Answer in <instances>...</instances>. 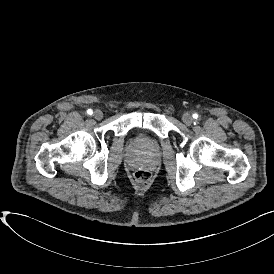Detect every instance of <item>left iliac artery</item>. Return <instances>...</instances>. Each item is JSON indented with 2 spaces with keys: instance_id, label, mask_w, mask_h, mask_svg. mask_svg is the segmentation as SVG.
I'll return each instance as SVG.
<instances>
[{
  "instance_id": "obj_1",
  "label": "left iliac artery",
  "mask_w": 274,
  "mask_h": 274,
  "mask_svg": "<svg viewBox=\"0 0 274 274\" xmlns=\"http://www.w3.org/2000/svg\"><path fill=\"white\" fill-rule=\"evenodd\" d=\"M193 118H194V119H197V118H198V114H196V113L193 114Z\"/></svg>"
}]
</instances>
